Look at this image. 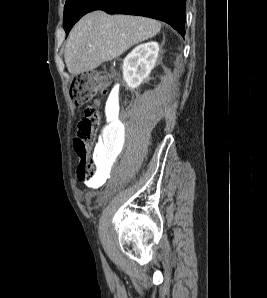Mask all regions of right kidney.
<instances>
[{"label":"right kidney","instance_id":"right-kidney-1","mask_svg":"<svg viewBox=\"0 0 267 298\" xmlns=\"http://www.w3.org/2000/svg\"><path fill=\"white\" fill-rule=\"evenodd\" d=\"M159 52L157 42L135 47L123 61V79L129 88H137L154 68Z\"/></svg>","mask_w":267,"mask_h":298}]
</instances>
